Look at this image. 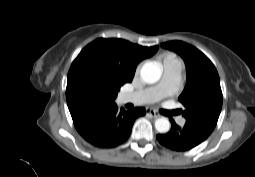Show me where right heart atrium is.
<instances>
[{
	"label": "right heart atrium",
	"mask_w": 255,
	"mask_h": 177,
	"mask_svg": "<svg viewBox=\"0 0 255 177\" xmlns=\"http://www.w3.org/2000/svg\"><path fill=\"white\" fill-rule=\"evenodd\" d=\"M140 68H141V64H139V65L136 67L135 72H136V73H138V72H139V70H140Z\"/></svg>",
	"instance_id": "1"
}]
</instances>
